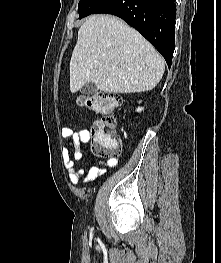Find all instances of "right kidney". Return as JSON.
Here are the masks:
<instances>
[{
    "label": "right kidney",
    "instance_id": "right-kidney-1",
    "mask_svg": "<svg viewBox=\"0 0 221 263\" xmlns=\"http://www.w3.org/2000/svg\"><path fill=\"white\" fill-rule=\"evenodd\" d=\"M142 110H144V108L138 107L136 111H137V112H141Z\"/></svg>",
    "mask_w": 221,
    "mask_h": 263
}]
</instances>
